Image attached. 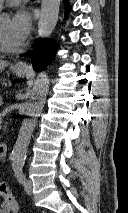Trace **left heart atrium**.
<instances>
[{
  "mask_svg": "<svg viewBox=\"0 0 128 213\" xmlns=\"http://www.w3.org/2000/svg\"><path fill=\"white\" fill-rule=\"evenodd\" d=\"M10 21L13 38L18 45H22L30 33V15L24 8H18Z\"/></svg>",
  "mask_w": 128,
  "mask_h": 213,
  "instance_id": "left-heart-atrium-1",
  "label": "left heart atrium"
}]
</instances>
